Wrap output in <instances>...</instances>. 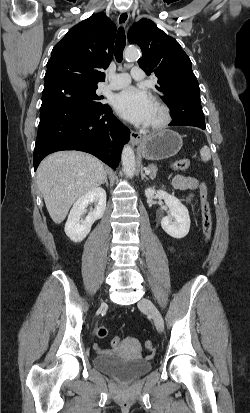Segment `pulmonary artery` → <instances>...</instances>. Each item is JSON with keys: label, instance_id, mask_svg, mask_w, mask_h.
I'll return each mask as SVG.
<instances>
[{"label": "pulmonary artery", "instance_id": "1", "mask_svg": "<svg viewBox=\"0 0 250 413\" xmlns=\"http://www.w3.org/2000/svg\"><path fill=\"white\" fill-rule=\"evenodd\" d=\"M144 77L143 71L139 67L132 68L130 74L118 73L112 76L111 82L106 86L107 89L117 90L128 86L131 82V78L135 80H142Z\"/></svg>", "mask_w": 250, "mask_h": 413}]
</instances>
